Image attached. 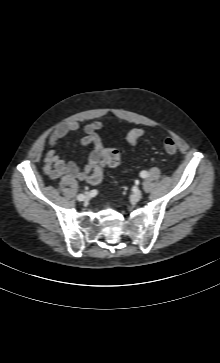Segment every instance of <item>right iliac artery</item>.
Returning <instances> with one entry per match:
<instances>
[{
    "label": "right iliac artery",
    "instance_id": "right-iliac-artery-1",
    "mask_svg": "<svg viewBox=\"0 0 220 363\" xmlns=\"http://www.w3.org/2000/svg\"><path fill=\"white\" fill-rule=\"evenodd\" d=\"M77 199H78L79 201L84 200V195H83V194H79V195L77 196Z\"/></svg>",
    "mask_w": 220,
    "mask_h": 363
}]
</instances>
